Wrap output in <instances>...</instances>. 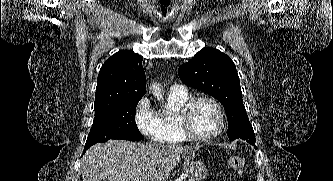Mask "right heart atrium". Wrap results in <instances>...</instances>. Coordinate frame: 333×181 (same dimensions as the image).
Segmentation results:
<instances>
[{
	"label": "right heart atrium",
	"mask_w": 333,
	"mask_h": 181,
	"mask_svg": "<svg viewBox=\"0 0 333 181\" xmlns=\"http://www.w3.org/2000/svg\"><path fill=\"white\" fill-rule=\"evenodd\" d=\"M134 121L138 130L148 139L157 140L162 126L147 98H141L134 109Z\"/></svg>",
	"instance_id": "d8ad5b80"
}]
</instances>
